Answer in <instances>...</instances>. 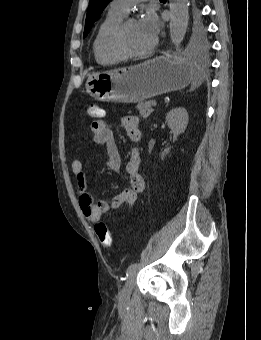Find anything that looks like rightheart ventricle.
Returning a JSON list of instances; mask_svg holds the SVG:
<instances>
[{"mask_svg": "<svg viewBox=\"0 0 261 340\" xmlns=\"http://www.w3.org/2000/svg\"><path fill=\"white\" fill-rule=\"evenodd\" d=\"M125 15L109 9L103 20L100 22L92 44V50L97 63L101 65H111L120 60L107 49L106 41L112 28L120 22Z\"/></svg>", "mask_w": 261, "mask_h": 340, "instance_id": "obj_1", "label": "right heart ventricle"}]
</instances>
